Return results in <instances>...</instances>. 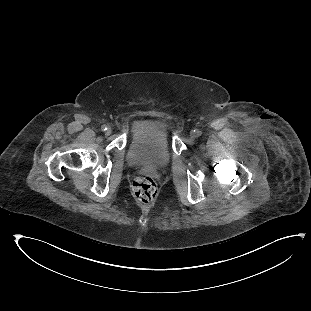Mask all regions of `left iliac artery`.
<instances>
[{
	"label": "left iliac artery",
	"mask_w": 311,
	"mask_h": 311,
	"mask_svg": "<svg viewBox=\"0 0 311 311\" xmlns=\"http://www.w3.org/2000/svg\"><path fill=\"white\" fill-rule=\"evenodd\" d=\"M196 134H197L198 136H200V135L202 134V132H201L200 130H196Z\"/></svg>",
	"instance_id": "1"
}]
</instances>
